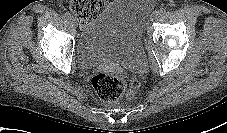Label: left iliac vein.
<instances>
[{
  "mask_svg": "<svg viewBox=\"0 0 227 133\" xmlns=\"http://www.w3.org/2000/svg\"><path fill=\"white\" fill-rule=\"evenodd\" d=\"M158 14L156 12H153L150 16V20L153 21L157 18Z\"/></svg>",
  "mask_w": 227,
  "mask_h": 133,
  "instance_id": "left-iliac-vein-1",
  "label": "left iliac vein"
}]
</instances>
